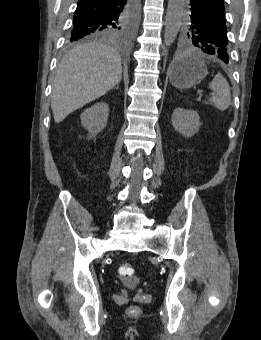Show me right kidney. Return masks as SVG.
Here are the masks:
<instances>
[{
  "mask_svg": "<svg viewBox=\"0 0 261 340\" xmlns=\"http://www.w3.org/2000/svg\"><path fill=\"white\" fill-rule=\"evenodd\" d=\"M108 114L109 106L107 103H96L80 115L81 124L89 131L91 136H95L106 127Z\"/></svg>",
  "mask_w": 261,
  "mask_h": 340,
  "instance_id": "right-kidney-1",
  "label": "right kidney"
}]
</instances>
